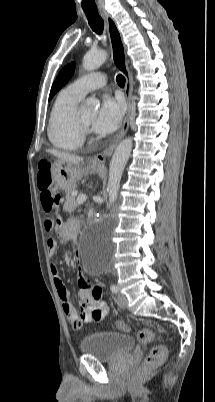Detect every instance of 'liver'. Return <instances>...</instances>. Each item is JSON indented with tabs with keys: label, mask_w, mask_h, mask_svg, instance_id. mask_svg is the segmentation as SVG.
<instances>
[{
	"label": "liver",
	"mask_w": 215,
	"mask_h": 402,
	"mask_svg": "<svg viewBox=\"0 0 215 402\" xmlns=\"http://www.w3.org/2000/svg\"><path fill=\"white\" fill-rule=\"evenodd\" d=\"M47 152L51 153L52 155L57 157L59 160L68 162L71 164H77V163H80L81 161H83L82 157H79V156L73 155V154H69V153H64V152H61L58 150L48 149Z\"/></svg>",
	"instance_id": "6515ba94"
}]
</instances>
